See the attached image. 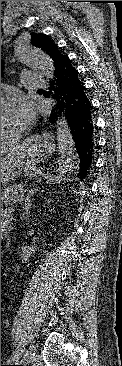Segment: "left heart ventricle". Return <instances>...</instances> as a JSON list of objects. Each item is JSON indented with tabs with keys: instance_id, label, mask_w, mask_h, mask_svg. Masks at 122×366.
Returning <instances> with one entry per match:
<instances>
[{
	"instance_id": "obj_1",
	"label": "left heart ventricle",
	"mask_w": 122,
	"mask_h": 366,
	"mask_svg": "<svg viewBox=\"0 0 122 366\" xmlns=\"http://www.w3.org/2000/svg\"><path fill=\"white\" fill-rule=\"evenodd\" d=\"M20 124L16 102L1 107V138L17 135Z\"/></svg>"
}]
</instances>
